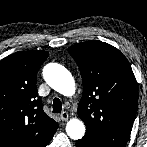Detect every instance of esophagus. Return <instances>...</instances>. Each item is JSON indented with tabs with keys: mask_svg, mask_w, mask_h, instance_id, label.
Here are the masks:
<instances>
[{
	"mask_svg": "<svg viewBox=\"0 0 147 147\" xmlns=\"http://www.w3.org/2000/svg\"><path fill=\"white\" fill-rule=\"evenodd\" d=\"M60 118L62 121H67L69 119V114L68 112L66 111H63L61 114H60Z\"/></svg>",
	"mask_w": 147,
	"mask_h": 147,
	"instance_id": "esophagus-1",
	"label": "esophagus"
}]
</instances>
